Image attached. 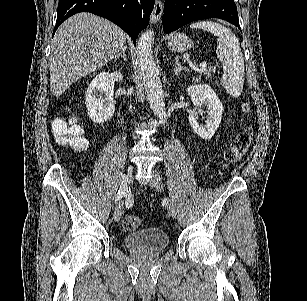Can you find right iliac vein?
<instances>
[{
  "label": "right iliac vein",
  "mask_w": 307,
  "mask_h": 301,
  "mask_svg": "<svg viewBox=\"0 0 307 301\" xmlns=\"http://www.w3.org/2000/svg\"><path fill=\"white\" fill-rule=\"evenodd\" d=\"M132 175H133V167H132V165H130L127 169V173L124 174L121 177V184H120V188H119V190L124 191L125 196H127V190H128L129 185L131 183ZM122 214H123V205H122V203H119L117 205V207L115 208V211H114V220L119 221Z\"/></svg>",
  "instance_id": "right-iliac-vein-1"
}]
</instances>
